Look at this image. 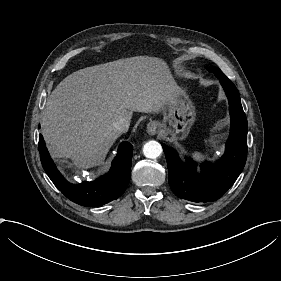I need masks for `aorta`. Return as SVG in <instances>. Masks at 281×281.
I'll list each match as a JSON object with an SVG mask.
<instances>
[{"label": "aorta", "instance_id": "762f6f07", "mask_svg": "<svg viewBox=\"0 0 281 281\" xmlns=\"http://www.w3.org/2000/svg\"><path fill=\"white\" fill-rule=\"evenodd\" d=\"M162 151L163 150L161 144L154 140L148 141L143 146V153L145 157L150 159L158 158L161 155Z\"/></svg>", "mask_w": 281, "mask_h": 281}]
</instances>
